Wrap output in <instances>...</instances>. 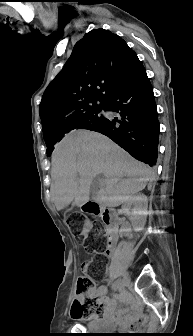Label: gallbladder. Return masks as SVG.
<instances>
[{"label": "gallbladder", "instance_id": "1", "mask_svg": "<svg viewBox=\"0 0 193 336\" xmlns=\"http://www.w3.org/2000/svg\"><path fill=\"white\" fill-rule=\"evenodd\" d=\"M91 196H93L94 195V193H95V188H93V187H91Z\"/></svg>", "mask_w": 193, "mask_h": 336}]
</instances>
